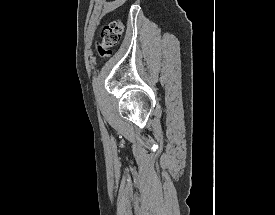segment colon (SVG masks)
I'll return each mask as SVG.
<instances>
[{"label":"colon","instance_id":"5ec220e1","mask_svg":"<svg viewBox=\"0 0 275 215\" xmlns=\"http://www.w3.org/2000/svg\"><path fill=\"white\" fill-rule=\"evenodd\" d=\"M123 27L120 21L114 20L105 24L100 32V41L96 45L99 56L107 58L112 53V48L121 39Z\"/></svg>","mask_w":275,"mask_h":215}]
</instances>
